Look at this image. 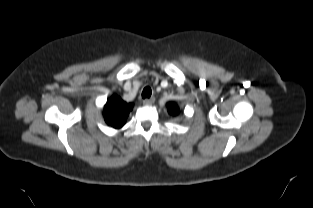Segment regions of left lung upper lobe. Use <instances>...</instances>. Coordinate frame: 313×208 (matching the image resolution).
Segmentation results:
<instances>
[{
	"label": "left lung upper lobe",
	"instance_id": "5c2ea615",
	"mask_svg": "<svg viewBox=\"0 0 313 208\" xmlns=\"http://www.w3.org/2000/svg\"><path fill=\"white\" fill-rule=\"evenodd\" d=\"M168 112L171 114V115H178L179 114V108L176 104L174 103H169L168 104Z\"/></svg>",
	"mask_w": 313,
	"mask_h": 208
}]
</instances>
